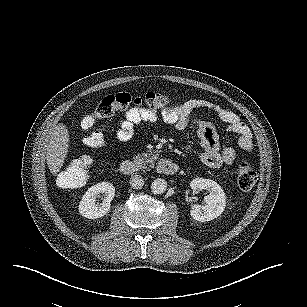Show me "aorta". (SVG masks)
<instances>
[{
	"label": "aorta",
	"instance_id": "762f6f07",
	"mask_svg": "<svg viewBox=\"0 0 307 307\" xmlns=\"http://www.w3.org/2000/svg\"><path fill=\"white\" fill-rule=\"evenodd\" d=\"M167 182L163 178H156L151 183V192L156 195H161L167 190Z\"/></svg>",
	"mask_w": 307,
	"mask_h": 307
}]
</instances>
